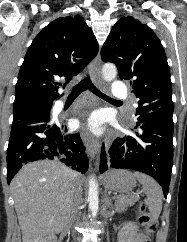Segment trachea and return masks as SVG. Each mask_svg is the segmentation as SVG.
I'll return each instance as SVG.
<instances>
[{"label":"trachea","mask_w":187,"mask_h":242,"mask_svg":"<svg viewBox=\"0 0 187 242\" xmlns=\"http://www.w3.org/2000/svg\"><path fill=\"white\" fill-rule=\"evenodd\" d=\"M89 89L92 93H94L95 95L99 96L100 98L103 99H109V100H113V101H117L109 96H107L106 94L102 93L101 91H99L94 85L93 83L90 81V79L88 77H85L81 82H79L70 92L69 94V98H76L81 92L85 91Z\"/></svg>","instance_id":"obj_1"}]
</instances>
